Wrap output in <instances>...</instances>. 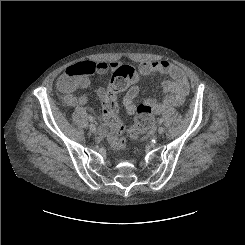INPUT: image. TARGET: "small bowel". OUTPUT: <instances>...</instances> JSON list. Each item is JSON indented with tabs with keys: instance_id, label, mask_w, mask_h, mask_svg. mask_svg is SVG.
<instances>
[{
	"instance_id": "1",
	"label": "small bowel",
	"mask_w": 245,
	"mask_h": 245,
	"mask_svg": "<svg viewBox=\"0 0 245 245\" xmlns=\"http://www.w3.org/2000/svg\"><path fill=\"white\" fill-rule=\"evenodd\" d=\"M96 66L94 73H105L111 74L110 81L95 90L96 96L103 102L106 96L109 94V88L112 78L123 69V65L117 61L112 60L110 62L99 61L94 63ZM138 73L141 77H147L154 73H161L169 76L171 80H165L162 84L163 91L165 92V98L158 102L155 99H148L146 103L149 104L156 114H160L165 109L181 105L188 92L189 84L185 73L177 66L166 60L157 61H145L138 66ZM70 75L68 69L63 73L58 81L57 85L59 90L63 93L62 98L64 102L69 106L84 105L87 103V96H75L71 91H65L61 87V81ZM89 84L88 76L83 79V85ZM140 96V88L138 85H132L128 88L127 92L123 96V105L127 112L134 113L138 103V97ZM100 134L105 136L108 134V129L105 126L100 128Z\"/></svg>"
}]
</instances>
